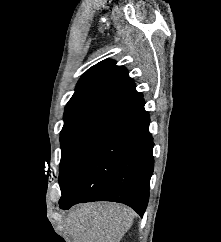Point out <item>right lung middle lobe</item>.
I'll return each mask as SVG.
<instances>
[{"label":"right lung middle lobe","instance_id":"obj_1","mask_svg":"<svg viewBox=\"0 0 221 242\" xmlns=\"http://www.w3.org/2000/svg\"><path fill=\"white\" fill-rule=\"evenodd\" d=\"M98 123H80L70 126H64L60 134L61 143V161L59 169V178L66 169V166L87 137L99 126Z\"/></svg>","mask_w":221,"mask_h":242}]
</instances>
